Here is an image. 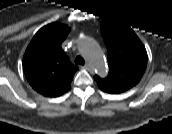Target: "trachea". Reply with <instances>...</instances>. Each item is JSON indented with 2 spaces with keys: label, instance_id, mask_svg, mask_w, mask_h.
Masks as SVG:
<instances>
[{
  "label": "trachea",
  "instance_id": "1",
  "mask_svg": "<svg viewBox=\"0 0 172 134\" xmlns=\"http://www.w3.org/2000/svg\"><path fill=\"white\" fill-rule=\"evenodd\" d=\"M75 63L76 64H79V65H84L85 64V61H84V59L81 56H77L75 58Z\"/></svg>",
  "mask_w": 172,
  "mask_h": 134
}]
</instances>
